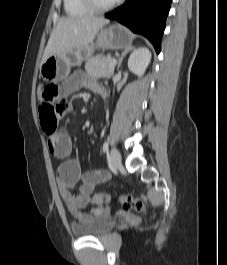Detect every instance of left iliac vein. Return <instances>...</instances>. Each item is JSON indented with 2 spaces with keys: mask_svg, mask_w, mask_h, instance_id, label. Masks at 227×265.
<instances>
[{
  "mask_svg": "<svg viewBox=\"0 0 227 265\" xmlns=\"http://www.w3.org/2000/svg\"><path fill=\"white\" fill-rule=\"evenodd\" d=\"M113 169L116 170L121 165V156L117 149L113 148L110 152Z\"/></svg>",
  "mask_w": 227,
  "mask_h": 265,
  "instance_id": "1",
  "label": "left iliac vein"
}]
</instances>
